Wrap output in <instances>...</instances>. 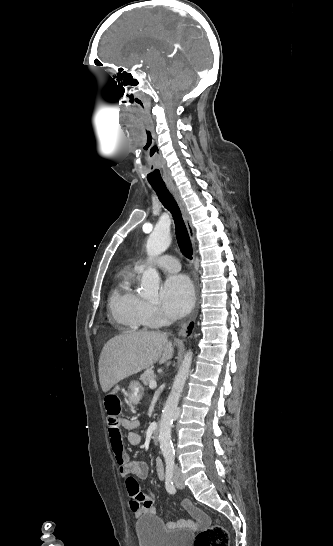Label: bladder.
I'll use <instances>...</instances> for the list:
<instances>
[{
  "instance_id": "bladder-1",
  "label": "bladder",
  "mask_w": 333,
  "mask_h": 546,
  "mask_svg": "<svg viewBox=\"0 0 333 546\" xmlns=\"http://www.w3.org/2000/svg\"><path fill=\"white\" fill-rule=\"evenodd\" d=\"M140 546H190L193 533L189 530H169L154 515L143 514L135 523Z\"/></svg>"
}]
</instances>
